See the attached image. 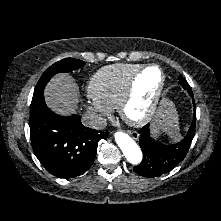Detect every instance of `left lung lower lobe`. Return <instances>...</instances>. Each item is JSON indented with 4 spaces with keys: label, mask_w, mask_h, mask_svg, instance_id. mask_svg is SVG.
Segmentation results:
<instances>
[{
    "label": "left lung lower lobe",
    "mask_w": 221,
    "mask_h": 221,
    "mask_svg": "<svg viewBox=\"0 0 221 221\" xmlns=\"http://www.w3.org/2000/svg\"><path fill=\"white\" fill-rule=\"evenodd\" d=\"M190 96L193 98V94ZM195 124L196 110H194L193 121L187 135L180 142L173 145L156 142L150 135L149 125L142 127L139 132V145L143 153V159L140 164L134 167V171L148 178L158 177L171 171L186 156L195 135Z\"/></svg>",
    "instance_id": "left-lung-lower-lobe-1"
}]
</instances>
